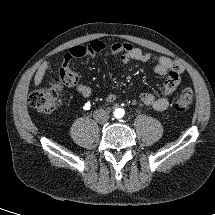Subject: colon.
I'll list each match as a JSON object with an SVG mask.
<instances>
[{
  "mask_svg": "<svg viewBox=\"0 0 215 215\" xmlns=\"http://www.w3.org/2000/svg\"><path fill=\"white\" fill-rule=\"evenodd\" d=\"M55 78L57 81L36 89L30 96V104L39 109L49 110L60 104L62 100V90L64 87H69V82L64 77V69L63 66L60 65L55 69L54 72ZM194 92L193 89L187 87L183 93L180 95L179 99L175 103L174 107L178 111H184L189 108L193 102Z\"/></svg>",
  "mask_w": 215,
  "mask_h": 215,
  "instance_id": "1",
  "label": "colon"
}]
</instances>
